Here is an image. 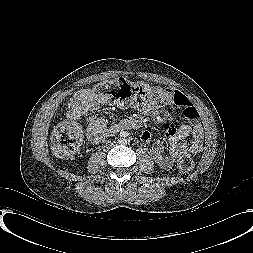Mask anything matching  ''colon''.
<instances>
[{
    "label": "colon",
    "mask_w": 253,
    "mask_h": 253,
    "mask_svg": "<svg viewBox=\"0 0 253 253\" xmlns=\"http://www.w3.org/2000/svg\"><path fill=\"white\" fill-rule=\"evenodd\" d=\"M94 95L103 103L122 107L131 106L139 110L165 105L174 98L166 88L130 83L122 79L97 84ZM51 142L53 151L58 156H70L80 149L83 133L76 123L63 122L57 126ZM177 164L181 171L188 172L193 168L194 161L190 154L184 152L179 156Z\"/></svg>",
    "instance_id": "1"
}]
</instances>
